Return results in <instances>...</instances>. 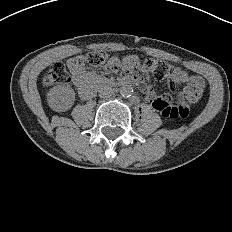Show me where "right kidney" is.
<instances>
[{
  "mask_svg": "<svg viewBox=\"0 0 232 232\" xmlns=\"http://www.w3.org/2000/svg\"><path fill=\"white\" fill-rule=\"evenodd\" d=\"M75 101V92L71 87L57 85L47 93V103L56 112L69 110Z\"/></svg>",
  "mask_w": 232,
  "mask_h": 232,
  "instance_id": "right-kidney-1",
  "label": "right kidney"
}]
</instances>
